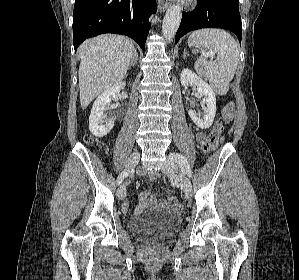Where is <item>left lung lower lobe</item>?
<instances>
[{
  "label": "left lung lower lobe",
  "instance_id": "left-lung-lower-lobe-1",
  "mask_svg": "<svg viewBox=\"0 0 299 280\" xmlns=\"http://www.w3.org/2000/svg\"><path fill=\"white\" fill-rule=\"evenodd\" d=\"M201 28L230 30L237 35L241 43L239 0H198L193 12H183L175 43L186 33Z\"/></svg>",
  "mask_w": 299,
  "mask_h": 280
}]
</instances>
